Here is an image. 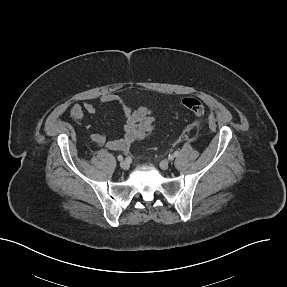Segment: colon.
Instances as JSON below:
<instances>
[{
  "label": "colon",
  "instance_id": "1",
  "mask_svg": "<svg viewBox=\"0 0 287 287\" xmlns=\"http://www.w3.org/2000/svg\"><path fill=\"white\" fill-rule=\"evenodd\" d=\"M183 107L194 115H202L205 112L204 104L197 98L188 97L182 100Z\"/></svg>",
  "mask_w": 287,
  "mask_h": 287
}]
</instances>
